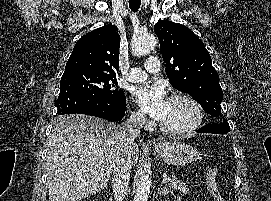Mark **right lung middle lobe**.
<instances>
[{
  "label": "right lung middle lobe",
  "mask_w": 271,
  "mask_h": 201,
  "mask_svg": "<svg viewBox=\"0 0 271 201\" xmlns=\"http://www.w3.org/2000/svg\"><path fill=\"white\" fill-rule=\"evenodd\" d=\"M115 75L86 70L65 71L61 78L60 94H88L113 97L123 92L116 88Z\"/></svg>",
  "instance_id": "right-lung-middle-lobe-1"
}]
</instances>
